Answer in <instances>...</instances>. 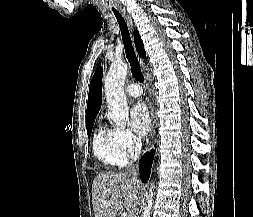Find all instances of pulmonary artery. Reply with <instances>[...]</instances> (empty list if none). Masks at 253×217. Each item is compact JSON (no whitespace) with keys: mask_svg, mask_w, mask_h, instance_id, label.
Segmentation results:
<instances>
[{"mask_svg":"<svg viewBox=\"0 0 253 217\" xmlns=\"http://www.w3.org/2000/svg\"><path fill=\"white\" fill-rule=\"evenodd\" d=\"M126 92L132 97H139L142 95V90L138 84L131 83L126 86Z\"/></svg>","mask_w":253,"mask_h":217,"instance_id":"1","label":"pulmonary artery"}]
</instances>
